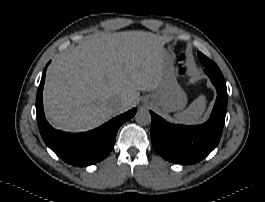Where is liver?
Masks as SVG:
<instances>
[{
	"mask_svg": "<svg viewBox=\"0 0 265 202\" xmlns=\"http://www.w3.org/2000/svg\"><path fill=\"white\" fill-rule=\"evenodd\" d=\"M165 40L142 31L87 38L49 77L45 107L53 125L73 132L89 130L111 113L109 96H137L138 90L155 88L162 74L159 46ZM71 96L78 100L73 102Z\"/></svg>",
	"mask_w": 265,
	"mask_h": 202,
	"instance_id": "obj_1",
	"label": "liver"
}]
</instances>
